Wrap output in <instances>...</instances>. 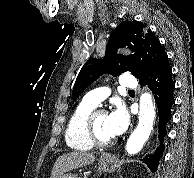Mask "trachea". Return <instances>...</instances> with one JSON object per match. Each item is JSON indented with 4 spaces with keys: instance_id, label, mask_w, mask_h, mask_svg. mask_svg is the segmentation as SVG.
Wrapping results in <instances>:
<instances>
[{
    "instance_id": "trachea-1",
    "label": "trachea",
    "mask_w": 194,
    "mask_h": 178,
    "mask_svg": "<svg viewBox=\"0 0 194 178\" xmlns=\"http://www.w3.org/2000/svg\"><path fill=\"white\" fill-rule=\"evenodd\" d=\"M129 92H134L133 90H130Z\"/></svg>"
}]
</instances>
